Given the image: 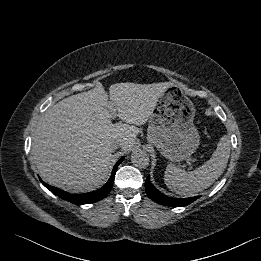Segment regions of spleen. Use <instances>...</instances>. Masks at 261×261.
I'll return each instance as SVG.
<instances>
[{"label":"spleen","mask_w":261,"mask_h":261,"mask_svg":"<svg viewBox=\"0 0 261 261\" xmlns=\"http://www.w3.org/2000/svg\"><path fill=\"white\" fill-rule=\"evenodd\" d=\"M230 156V141L223 136L217 143L211 158L194 171L187 172L169 164L166 167L164 181L173 192L182 196H192L208 187L220 177L227 166Z\"/></svg>","instance_id":"1"}]
</instances>
